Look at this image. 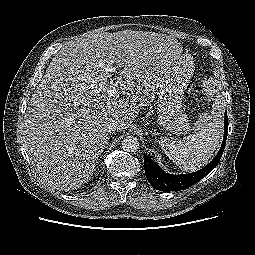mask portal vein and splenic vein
<instances>
[{"label": "portal vein and splenic vein", "instance_id": "18ae733b", "mask_svg": "<svg viewBox=\"0 0 255 255\" xmlns=\"http://www.w3.org/2000/svg\"><path fill=\"white\" fill-rule=\"evenodd\" d=\"M100 67L104 68L107 72H116V69L113 67H106L103 65H100ZM118 94V90L116 88H113L110 90V97H113Z\"/></svg>", "mask_w": 255, "mask_h": 255}]
</instances>
